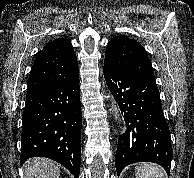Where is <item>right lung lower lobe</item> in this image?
<instances>
[{
  "label": "right lung lower lobe",
  "mask_w": 194,
  "mask_h": 178,
  "mask_svg": "<svg viewBox=\"0 0 194 178\" xmlns=\"http://www.w3.org/2000/svg\"><path fill=\"white\" fill-rule=\"evenodd\" d=\"M82 115L79 73L73 78L27 91L22 117L21 164L47 157L78 177Z\"/></svg>",
  "instance_id": "right-lung-lower-lobe-1"
}]
</instances>
